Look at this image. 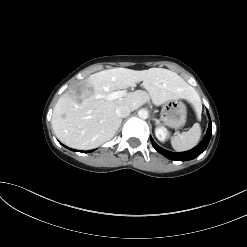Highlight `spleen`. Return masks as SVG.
<instances>
[{"instance_id":"spleen-1","label":"spleen","mask_w":247,"mask_h":247,"mask_svg":"<svg viewBox=\"0 0 247 247\" xmlns=\"http://www.w3.org/2000/svg\"><path fill=\"white\" fill-rule=\"evenodd\" d=\"M194 104V108L198 118L201 116L202 106L200 99ZM201 127L199 123H195L191 129L171 138V145L174 150L181 152L192 149L197 145L201 137Z\"/></svg>"}]
</instances>
